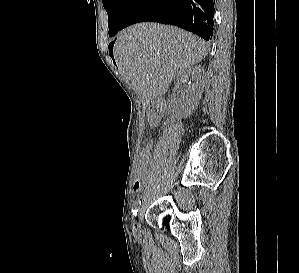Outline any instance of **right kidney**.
Listing matches in <instances>:
<instances>
[{
    "mask_svg": "<svg viewBox=\"0 0 299 273\" xmlns=\"http://www.w3.org/2000/svg\"><path fill=\"white\" fill-rule=\"evenodd\" d=\"M204 74L205 71L201 66L189 67L177 76L176 85L179 86L182 83H187L190 77L199 79ZM202 92L203 85L201 82L188 83L181 99L175 95L170 98L169 107H179L183 111L184 117H187L195 110Z\"/></svg>",
    "mask_w": 299,
    "mask_h": 273,
    "instance_id": "1",
    "label": "right kidney"
}]
</instances>
